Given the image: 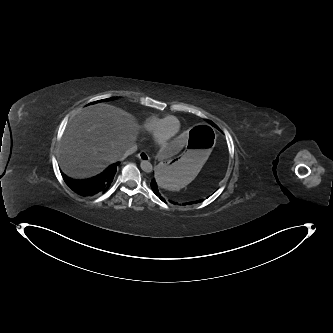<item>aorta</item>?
Listing matches in <instances>:
<instances>
[{
    "mask_svg": "<svg viewBox=\"0 0 333 333\" xmlns=\"http://www.w3.org/2000/svg\"><path fill=\"white\" fill-rule=\"evenodd\" d=\"M141 169L144 171V172H151L152 169H153V166L152 164L149 162V161H142L141 164Z\"/></svg>",
    "mask_w": 333,
    "mask_h": 333,
    "instance_id": "1",
    "label": "aorta"
}]
</instances>
